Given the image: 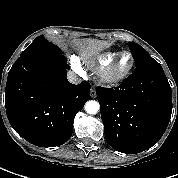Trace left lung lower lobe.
<instances>
[{
  "label": "left lung lower lobe",
  "instance_id": "left-lung-lower-lobe-1",
  "mask_svg": "<svg viewBox=\"0 0 178 178\" xmlns=\"http://www.w3.org/2000/svg\"><path fill=\"white\" fill-rule=\"evenodd\" d=\"M105 137L122 153L136 154L156 144L172 112V94L161 65L133 72L118 87H97Z\"/></svg>",
  "mask_w": 178,
  "mask_h": 178
}]
</instances>
